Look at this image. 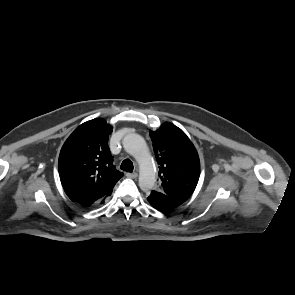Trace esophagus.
<instances>
[{"label": "esophagus", "instance_id": "obj_1", "mask_svg": "<svg viewBox=\"0 0 295 295\" xmlns=\"http://www.w3.org/2000/svg\"><path fill=\"white\" fill-rule=\"evenodd\" d=\"M126 176L128 178H136L138 176V174L136 172H133V173H126Z\"/></svg>", "mask_w": 295, "mask_h": 295}]
</instances>
